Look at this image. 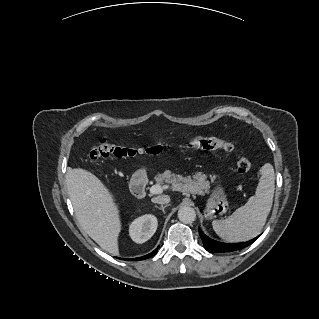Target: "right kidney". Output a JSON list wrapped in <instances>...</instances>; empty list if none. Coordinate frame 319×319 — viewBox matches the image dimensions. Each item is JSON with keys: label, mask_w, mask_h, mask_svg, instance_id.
I'll return each instance as SVG.
<instances>
[{"label": "right kidney", "mask_w": 319, "mask_h": 319, "mask_svg": "<svg viewBox=\"0 0 319 319\" xmlns=\"http://www.w3.org/2000/svg\"><path fill=\"white\" fill-rule=\"evenodd\" d=\"M157 226V218L152 214H146L138 217L130 224L129 235L136 243H144L153 236Z\"/></svg>", "instance_id": "ca27d5eb"}]
</instances>
